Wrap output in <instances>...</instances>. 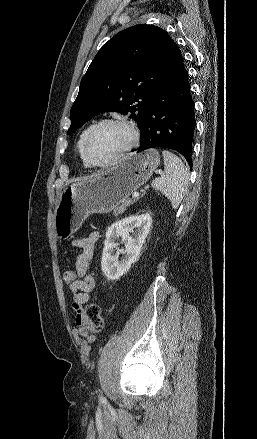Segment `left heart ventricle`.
Instances as JSON below:
<instances>
[{"instance_id":"1","label":"left heart ventricle","mask_w":257,"mask_h":439,"mask_svg":"<svg viewBox=\"0 0 257 439\" xmlns=\"http://www.w3.org/2000/svg\"><path fill=\"white\" fill-rule=\"evenodd\" d=\"M129 139V132L123 126L106 125L92 137L89 155L96 162L109 161L127 146Z\"/></svg>"}]
</instances>
